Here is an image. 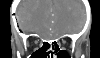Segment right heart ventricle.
Returning <instances> with one entry per match:
<instances>
[{"label": "right heart ventricle", "instance_id": "1", "mask_svg": "<svg viewBox=\"0 0 100 58\" xmlns=\"http://www.w3.org/2000/svg\"><path fill=\"white\" fill-rule=\"evenodd\" d=\"M38 6H42V7H44L43 3H38Z\"/></svg>", "mask_w": 100, "mask_h": 58}]
</instances>
